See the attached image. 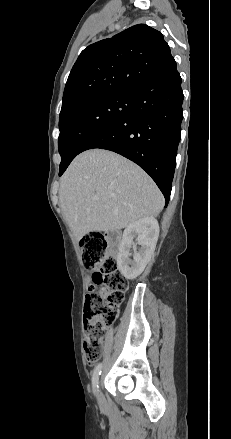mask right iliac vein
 Listing matches in <instances>:
<instances>
[{
    "label": "right iliac vein",
    "mask_w": 231,
    "mask_h": 439,
    "mask_svg": "<svg viewBox=\"0 0 231 439\" xmlns=\"http://www.w3.org/2000/svg\"><path fill=\"white\" fill-rule=\"evenodd\" d=\"M97 395H98V400L101 402L102 401V397H101V394H100V390H97Z\"/></svg>",
    "instance_id": "63e3f726"
}]
</instances>
